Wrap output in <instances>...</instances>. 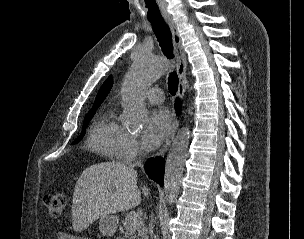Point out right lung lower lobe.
<instances>
[{
    "label": "right lung lower lobe",
    "mask_w": 304,
    "mask_h": 239,
    "mask_svg": "<svg viewBox=\"0 0 304 239\" xmlns=\"http://www.w3.org/2000/svg\"><path fill=\"white\" fill-rule=\"evenodd\" d=\"M176 109L179 113L180 111V101L176 100ZM144 168L147 175L157 182L160 186L164 184V163L163 159L160 157L150 158L146 161Z\"/></svg>",
    "instance_id": "98d812e1"
}]
</instances>
